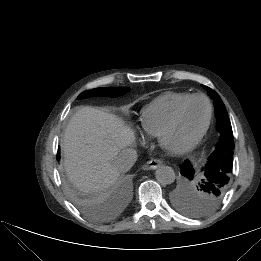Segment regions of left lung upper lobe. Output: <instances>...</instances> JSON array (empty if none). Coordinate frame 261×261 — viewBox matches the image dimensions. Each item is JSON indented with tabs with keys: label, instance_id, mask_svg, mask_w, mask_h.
<instances>
[{
	"label": "left lung upper lobe",
	"instance_id": "obj_1",
	"mask_svg": "<svg viewBox=\"0 0 261 261\" xmlns=\"http://www.w3.org/2000/svg\"><path fill=\"white\" fill-rule=\"evenodd\" d=\"M203 87L214 101L219 142L209 156L208 163L203 169L204 177L196 188L189 185L193 178H186V189L176 196L177 206L184 213L195 217L211 213L222 202L229 187L234 149L232 127L225 105L215 91L207 86Z\"/></svg>",
	"mask_w": 261,
	"mask_h": 261
}]
</instances>
